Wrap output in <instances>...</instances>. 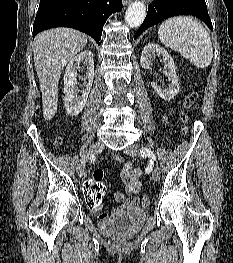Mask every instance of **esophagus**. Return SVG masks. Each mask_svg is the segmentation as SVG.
I'll return each mask as SVG.
<instances>
[{"mask_svg": "<svg viewBox=\"0 0 233 263\" xmlns=\"http://www.w3.org/2000/svg\"><path fill=\"white\" fill-rule=\"evenodd\" d=\"M122 2H123L124 6H127L129 4L130 0H122Z\"/></svg>", "mask_w": 233, "mask_h": 263, "instance_id": "obj_1", "label": "esophagus"}]
</instances>
